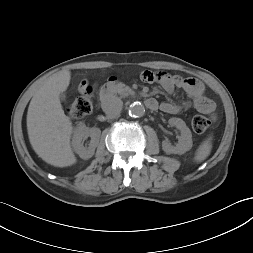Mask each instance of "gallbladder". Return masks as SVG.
Masks as SVG:
<instances>
[{"label":"gallbladder","instance_id":"1","mask_svg":"<svg viewBox=\"0 0 253 253\" xmlns=\"http://www.w3.org/2000/svg\"><path fill=\"white\" fill-rule=\"evenodd\" d=\"M59 99H60L61 102H65L66 96H65L64 94H61V95L59 96Z\"/></svg>","mask_w":253,"mask_h":253}]
</instances>
